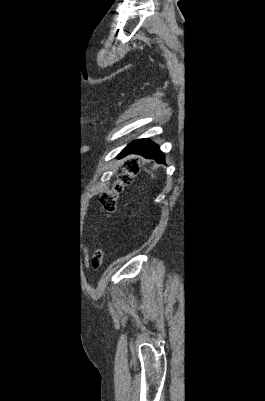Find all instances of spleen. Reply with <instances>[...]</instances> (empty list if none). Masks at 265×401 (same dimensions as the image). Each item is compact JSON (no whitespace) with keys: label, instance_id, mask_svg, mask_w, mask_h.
I'll return each instance as SVG.
<instances>
[{"label":"spleen","instance_id":"1","mask_svg":"<svg viewBox=\"0 0 265 401\" xmlns=\"http://www.w3.org/2000/svg\"><path fill=\"white\" fill-rule=\"evenodd\" d=\"M152 178H155L154 174H152Z\"/></svg>","mask_w":265,"mask_h":401}]
</instances>
